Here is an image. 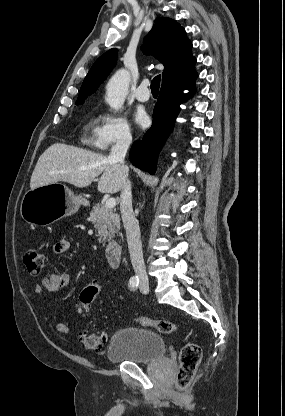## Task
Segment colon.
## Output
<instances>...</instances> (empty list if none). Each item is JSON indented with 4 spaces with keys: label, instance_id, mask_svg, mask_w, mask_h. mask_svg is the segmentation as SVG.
<instances>
[{
    "label": "colon",
    "instance_id": "1",
    "mask_svg": "<svg viewBox=\"0 0 285 416\" xmlns=\"http://www.w3.org/2000/svg\"><path fill=\"white\" fill-rule=\"evenodd\" d=\"M24 264L29 274L38 276L45 265V257L36 250H28L23 256ZM101 287L98 283L87 285L80 293L79 306L82 311H88L95 298L99 295ZM136 323L143 327H153L161 333L170 334L177 330V325L167 320H154L150 318H137ZM79 344L87 350L98 351L106 341L103 332H95L91 329H83L78 333ZM202 360V350L195 343H187L180 352V367L176 376V386L184 390L191 383L195 371Z\"/></svg>",
    "mask_w": 285,
    "mask_h": 416
}]
</instances>
